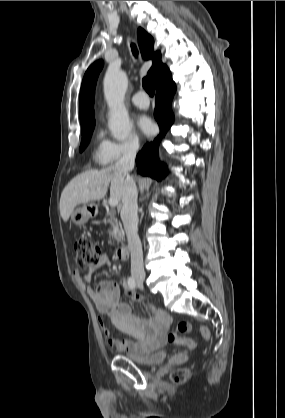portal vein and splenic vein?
Returning <instances> with one entry per match:
<instances>
[{
	"instance_id": "1",
	"label": "portal vein and splenic vein",
	"mask_w": 285,
	"mask_h": 418,
	"mask_svg": "<svg viewBox=\"0 0 285 418\" xmlns=\"http://www.w3.org/2000/svg\"><path fill=\"white\" fill-rule=\"evenodd\" d=\"M108 203L111 207H115L118 205V200L115 198H110Z\"/></svg>"
}]
</instances>
